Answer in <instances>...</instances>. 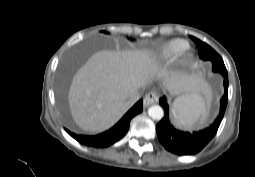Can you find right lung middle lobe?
Here are the masks:
<instances>
[{
  "mask_svg": "<svg viewBox=\"0 0 255 177\" xmlns=\"http://www.w3.org/2000/svg\"><path fill=\"white\" fill-rule=\"evenodd\" d=\"M63 93H64V90L61 89V90H60V100H61V103H62V104L64 103Z\"/></svg>",
  "mask_w": 255,
  "mask_h": 177,
  "instance_id": "dd1d6c3e",
  "label": "right lung middle lobe"
}]
</instances>
